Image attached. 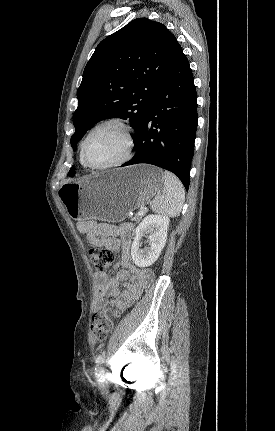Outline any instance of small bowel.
<instances>
[{
    "mask_svg": "<svg viewBox=\"0 0 275 431\" xmlns=\"http://www.w3.org/2000/svg\"><path fill=\"white\" fill-rule=\"evenodd\" d=\"M77 229L94 246L121 251L117 263L121 269L115 276L109 277L106 272H97L95 275L93 310L105 311L109 305L108 298H112L110 304L119 309L132 305L154 277L150 270L138 268L131 260L132 224L112 225L82 220L77 223Z\"/></svg>",
    "mask_w": 275,
    "mask_h": 431,
    "instance_id": "1",
    "label": "small bowel"
}]
</instances>
